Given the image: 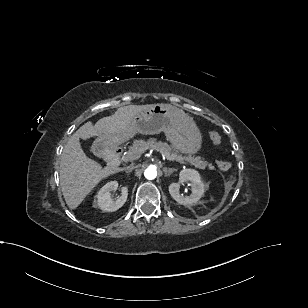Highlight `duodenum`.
<instances>
[{
    "label": "duodenum",
    "mask_w": 308,
    "mask_h": 308,
    "mask_svg": "<svg viewBox=\"0 0 308 308\" xmlns=\"http://www.w3.org/2000/svg\"><path fill=\"white\" fill-rule=\"evenodd\" d=\"M100 153L104 158L108 160L112 166H116L120 162L123 149L118 145H110L108 147L102 148Z\"/></svg>",
    "instance_id": "1"
}]
</instances>
